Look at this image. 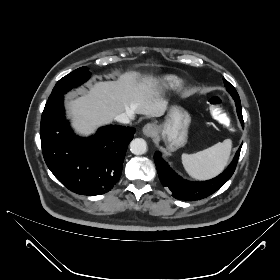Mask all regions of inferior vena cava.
Segmentation results:
<instances>
[{"label":"inferior vena cava","mask_w":280,"mask_h":280,"mask_svg":"<svg viewBox=\"0 0 280 280\" xmlns=\"http://www.w3.org/2000/svg\"><path fill=\"white\" fill-rule=\"evenodd\" d=\"M134 119V115L132 113H121L115 117V120L124 124L130 123L131 120Z\"/></svg>","instance_id":"inferior-vena-cava-1"}]
</instances>
